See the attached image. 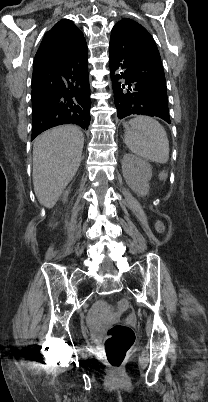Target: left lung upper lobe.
Masks as SVG:
<instances>
[{
  "mask_svg": "<svg viewBox=\"0 0 208 402\" xmlns=\"http://www.w3.org/2000/svg\"><path fill=\"white\" fill-rule=\"evenodd\" d=\"M117 24L127 25L135 30L137 34L148 32L143 26L128 18L122 19ZM138 48L140 58L138 69L152 76L161 84L166 85L160 54L154 39L149 33L139 42Z\"/></svg>",
  "mask_w": 208,
  "mask_h": 402,
  "instance_id": "1",
  "label": "left lung upper lobe"
}]
</instances>
